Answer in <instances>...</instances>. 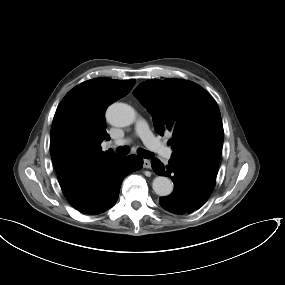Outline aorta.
Masks as SVG:
<instances>
[{"label": "aorta", "mask_w": 285, "mask_h": 285, "mask_svg": "<svg viewBox=\"0 0 285 285\" xmlns=\"http://www.w3.org/2000/svg\"><path fill=\"white\" fill-rule=\"evenodd\" d=\"M106 118L113 126L126 127L134 123L136 113L131 106L117 102L107 109ZM152 188L157 195L168 196L172 193L174 185L169 178L157 176L152 182Z\"/></svg>", "instance_id": "1"}]
</instances>
